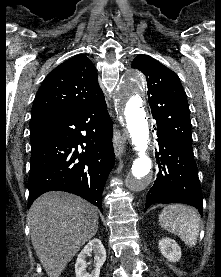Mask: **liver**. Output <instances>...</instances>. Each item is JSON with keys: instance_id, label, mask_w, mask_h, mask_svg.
<instances>
[{"instance_id": "obj_1", "label": "liver", "mask_w": 221, "mask_h": 277, "mask_svg": "<svg viewBox=\"0 0 221 277\" xmlns=\"http://www.w3.org/2000/svg\"><path fill=\"white\" fill-rule=\"evenodd\" d=\"M31 241L49 277L65 266L98 230V210L86 200L65 192H48L28 211Z\"/></svg>"}]
</instances>
